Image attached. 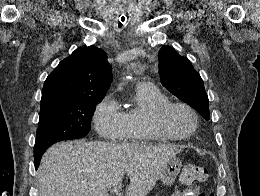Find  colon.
<instances>
[{"label": "colon", "instance_id": "obj_1", "mask_svg": "<svg viewBox=\"0 0 260 196\" xmlns=\"http://www.w3.org/2000/svg\"><path fill=\"white\" fill-rule=\"evenodd\" d=\"M208 173L206 169L196 164H186L180 172V181L185 186H192L207 181Z\"/></svg>", "mask_w": 260, "mask_h": 196}]
</instances>
